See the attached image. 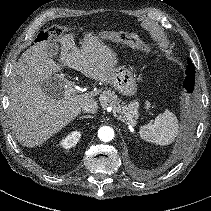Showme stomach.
<instances>
[{
    "label": "stomach",
    "mask_w": 211,
    "mask_h": 211,
    "mask_svg": "<svg viewBox=\"0 0 211 211\" xmlns=\"http://www.w3.org/2000/svg\"><path fill=\"white\" fill-rule=\"evenodd\" d=\"M133 37L124 32L114 34V39L119 42L128 43ZM111 85L122 95L132 96L137 92V83L133 74L125 66H119L111 75Z\"/></svg>",
    "instance_id": "1"
}]
</instances>
